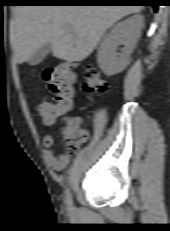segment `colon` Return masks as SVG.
<instances>
[{
	"label": "colon",
	"mask_w": 170,
	"mask_h": 231,
	"mask_svg": "<svg viewBox=\"0 0 170 231\" xmlns=\"http://www.w3.org/2000/svg\"><path fill=\"white\" fill-rule=\"evenodd\" d=\"M74 68V64L61 63L46 69L44 77L50 89L51 100H41L37 104V111L45 124L54 123L71 109L75 92ZM108 88V83L95 66H85L84 92L102 95L108 92ZM63 137L67 148L73 150L86 140L87 132L80 125H72L63 130Z\"/></svg>",
	"instance_id": "obj_1"
}]
</instances>
